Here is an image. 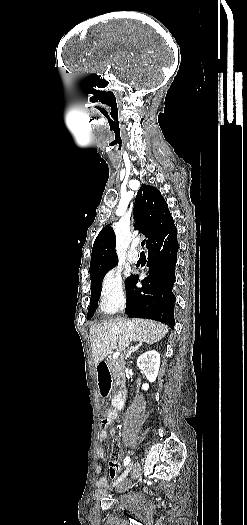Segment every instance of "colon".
<instances>
[{"mask_svg": "<svg viewBox=\"0 0 247 525\" xmlns=\"http://www.w3.org/2000/svg\"><path fill=\"white\" fill-rule=\"evenodd\" d=\"M110 424H111V421H110V419L107 418V417H104V418H102V419L100 420V425H101L102 427H104V428L109 427Z\"/></svg>", "mask_w": 247, "mask_h": 525, "instance_id": "1", "label": "colon"}]
</instances>
